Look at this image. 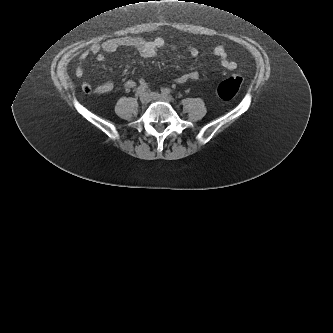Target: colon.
Here are the masks:
<instances>
[{
  "label": "colon",
  "mask_w": 333,
  "mask_h": 333,
  "mask_svg": "<svg viewBox=\"0 0 333 333\" xmlns=\"http://www.w3.org/2000/svg\"><path fill=\"white\" fill-rule=\"evenodd\" d=\"M243 83V77L240 75H234L228 79L223 80L217 87V94L224 100H230L234 98L239 92Z\"/></svg>",
  "instance_id": "5ec220e1"
}]
</instances>
